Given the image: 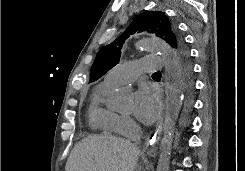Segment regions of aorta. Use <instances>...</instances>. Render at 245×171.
<instances>
[{"mask_svg": "<svg viewBox=\"0 0 245 171\" xmlns=\"http://www.w3.org/2000/svg\"><path fill=\"white\" fill-rule=\"evenodd\" d=\"M136 46L143 51L159 53L164 62L167 95L166 115L156 171H169L174 126L183 99V88L178 74V67L175 66V54L166 42L157 38H143L137 42ZM131 102V92L124 88H118L111 95L108 106L114 110L127 111Z\"/></svg>", "mask_w": 245, "mask_h": 171, "instance_id": "aorta-1", "label": "aorta"}]
</instances>
